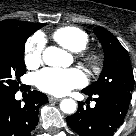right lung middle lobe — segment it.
Returning <instances> with one entry per match:
<instances>
[{"label": "right lung middle lobe", "mask_w": 136, "mask_h": 136, "mask_svg": "<svg viewBox=\"0 0 136 136\" xmlns=\"http://www.w3.org/2000/svg\"><path fill=\"white\" fill-rule=\"evenodd\" d=\"M41 24L38 28L43 27ZM37 28V29H38ZM35 30L14 28L0 33V94L15 93L19 90L20 76L25 74L24 46Z\"/></svg>", "instance_id": "obj_1"}]
</instances>
